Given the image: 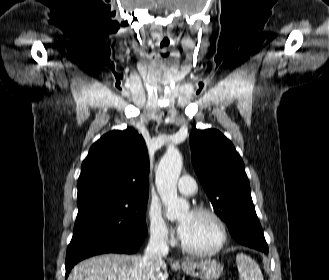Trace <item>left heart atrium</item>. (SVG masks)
I'll return each instance as SVG.
<instances>
[{"label":"left heart atrium","mask_w":329,"mask_h":280,"mask_svg":"<svg viewBox=\"0 0 329 280\" xmlns=\"http://www.w3.org/2000/svg\"><path fill=\"white\" fill-rule=\"evenodd\" d=\"M184 229H185L184 223H179V225H178V233H179L180 236L184 232Z\"/></svg>","instance_id":"obj_1"}]
</instances>
